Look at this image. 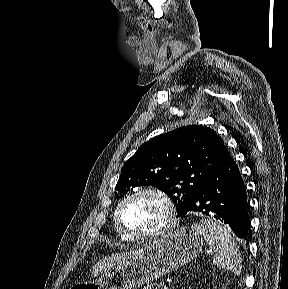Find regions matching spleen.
<instances>
[{
	"mask_svg": "<svg viewBox=\"0 0 288 289\" xmlns=\"http://www.w3.org/2000/svg\"><path fill=\"white\" fill-rule=\"evenodd\" d=\"M193 228L214 251L213 263L239 276L242 272V258L230 231L212 219L201 220L200 223L193 224Z\"/></svg>",
	"mask_w": 288,
	"mask_h": 289,
	"instance_id": "1",
	"label": "spleen"
}]
</instances>
